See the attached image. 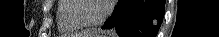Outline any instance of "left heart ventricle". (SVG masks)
Wrapping results in <instances>:
<instances>
[{"instance_id":"b2bd125f","label":"left heart ventricle","mask_w":219,"mask_h":37,"mask_svg":"<svg viewBox=\"0 0 219 37\" xmlns=\"http://www.w3.org/2000/svg\"><path fill=\"white\" fill-rule=\"evenodd\" d=\"M80 5L79 16L89 21L98 19L105 10V2L103 0H83Z\"/></svg>"}]
</instances>
